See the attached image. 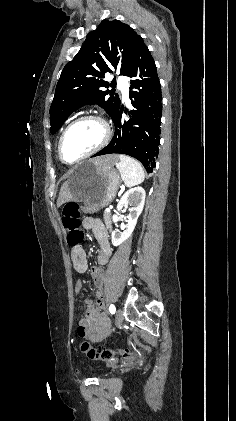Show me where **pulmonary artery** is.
I'll list each match as a JSON object with an SVG mask.
<instances>
[{
  "label": "pulmonary artery",
  "mask_w": 236,
  "mask_h": 421,
  "mask_svg": "<svg viewBox=\"0 0 236 421\" xmlns=\"http://www.w3.org/2000/svg\"><path fill=\"white\" fill-rule=\"evenodd\" d=\"M116 83L118 86H125L127 83V80L125 77H118L116 80ZM122 92V98L125 102H129V98H128V87H124L121 89Z\"/></svg>",
  "instance_id": "e3ab8cb5"
}]
</instances>
